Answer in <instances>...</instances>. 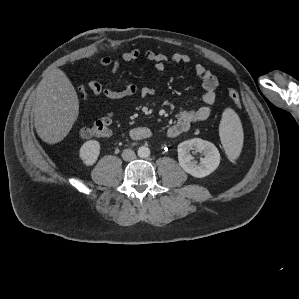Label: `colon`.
I'll use <instances>...</instances> for the list:
<instances>
[{"label":"colon","instance_id":"1","mask_svg":"<svg viewBox=\"0 0 299 299\" xmlns=\"http://www.w3.org/2000/svg\"><path fill=\"white\" fill-rule=\"evenodd\" d=\"M80 93L83 97L88 96L87 89L84 86L80 87ZM229 98L232 103L236 106H240V95L237 89L229 88L228 90ZM112 117L111 115H106L95 122L90 126L82 127L79 130V135L82 138H92V137H106L111 132Z\"/></svg>","mask_w":299,"mask_h":299}]
</instances>
